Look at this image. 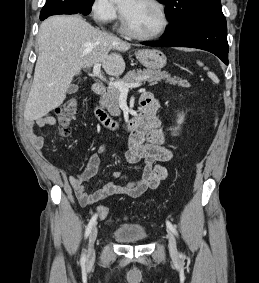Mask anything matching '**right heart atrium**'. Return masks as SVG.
I'll return each mask as SVG.
<instances>
[{
	"instance_id": "1",
	"label": "right heart atrium",
	"mask_w": 259,
	"mask_h": 283,
	"mask_svg": "<svg viewBox=\"0 0 259 283\" xmlns=\"http://www.w3.org/2000/svg\"><path fill=\"white\" fill-rule=\"evenodd\" d=\"M118 9L111 0H93L91 14L99 23H110L117 17Z\"/></svg>"
}]
</instances>
